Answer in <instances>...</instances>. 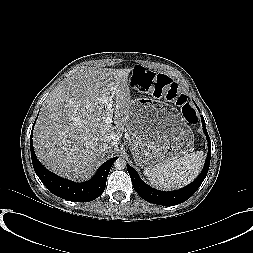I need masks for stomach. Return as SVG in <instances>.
Listing matches in <instances>:
<instances>
[{
    "mask_svg": "<svg viewBox=\"0 0 253 253\" xmlns=\"http://www.w3.org/2000/svg\"><path fill=\"white\" fill-rule=\"evenodd\" d=\"M126 128L135 139L131 146L134 161L144 169L177 159L194 144V134L182 113L153 98L132 100Z\"/></svg>",
    "mask_w": 253,
    "mask_h": 253,
    "instance_id": "0dacf381",
    "label": "stomach"
}]
</instances>
